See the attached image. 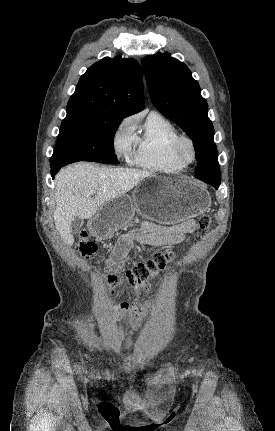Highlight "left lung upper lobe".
Here are the masks:
<instances>
[{
    "label": "left lung upper lobe",
    "mask_w": 275,
    "mask_h": 431,
    "mask_svg": "<svg viewBox=\"0 0 275 431\" xmlns=\"http://www.w3.org/2000/svg\"><path fill=\"white\" fill-rule=\"evenodd\" d=\"M142 65L153 105L193 140L196 175L213 172L216 181H221L207 101L188 67L168 53L146 56Z\"/></svg>",
    "instance_id": "left-lung-upper-lobe-1"
}]
</instances>
